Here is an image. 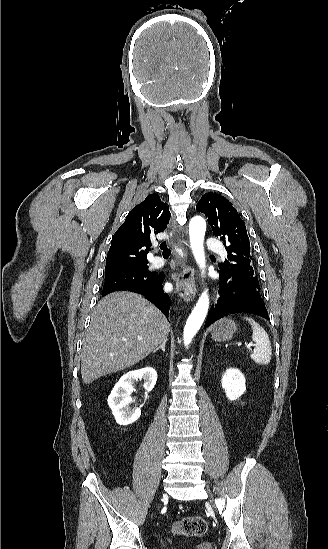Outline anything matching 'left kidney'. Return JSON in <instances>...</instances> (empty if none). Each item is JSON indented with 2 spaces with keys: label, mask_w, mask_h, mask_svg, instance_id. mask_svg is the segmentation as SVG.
<instances>
[{
  "label": "left kidney",
  "mask_w": 328,
  "mask_h": 549,
  "mask_svg": "<svg viewBox=\"0 0 328 549\" xmlns=\"http://www.w3.org/2000/svg\"><path fill=\"white\" fill-rule=\"evenodd\" d=\"M221 383L229 401L239 399L246 391L245 377L239 369H227L221 379Z\"/></svg>",
  "instance_id": "left-kidney-1"
}]
</instances>
